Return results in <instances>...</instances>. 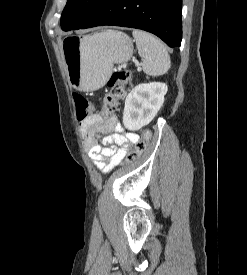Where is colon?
<instances>
[{
  "label": "colon",
  "instance_id": "5ec220e1",
  "mask_svg": "<svg viewBox=\"0 0 247 275\" xmlns=\"http://www.w3.org/2000/svg\"><path fill=\"white\" fill-rule=\"evenodd\" d=\"M132 75L129 71L119 69L114 71L107 82L109 91L104 97L103 101V113L106 116H111L114 110L117 108L120 100L125 93V86L131 81ZM74 101L76 107V115L79 122H83L94 111V105L85 96L81 94H74ZM151 139V133L148 130H142L140 132L139 140L136 143L134 149L128 153L125 162L130 163L137 160L142 153L146 150Z\"/></svg>",
  "mask_w": 247,
  "mask_h": 275
}]
</instances>
